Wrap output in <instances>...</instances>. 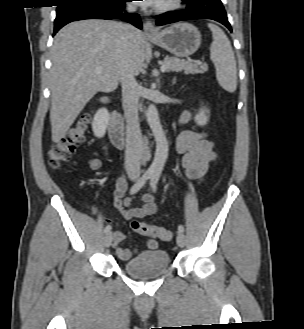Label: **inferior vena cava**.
<instances>
[{"instance_id":"602c4592","label":"inferior vena cava","mask_w":304,"mask_h":329,"mask_svg":"<svg viewBox=\"0 0 304 329\" xmlns=\"http://www.w3.org/2000/svg\"><path fill=\"white\" fill-rule=\"evenodd\" d=\"M127 10L134 12L136 8L128 4ZM133 27L129 24H121L119 27L120 40L126 48L131 38ZM120 82L122 87L123 109L127 122L125 168L130 178L140 176V163L143 147L141 130L138 118V101L140 86L137 83L129 60L124 58L120 64Z\"/></svg>"}]
</instances>
